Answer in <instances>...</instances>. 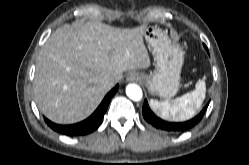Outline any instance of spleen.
I'll return each mask as SVG.
<instances>
[{
    "instance_id": "spleen-1",
    "label": "spleen",
    "mask_w": 249,
    "mask_h": 165,
    "mask_svg": "<svg viewBox=\"0 0 249 165\" xmlns=\"http://www.w3.org/2000/svg\"><path fill=\"white\" fill-rule=\"evenodd\" d=\"M205 77L197 81L195 90L172 102L151 100L153 111L163 119L170 121H185L192 118L205 99Z\"/></svg>"
}]
</instances>
